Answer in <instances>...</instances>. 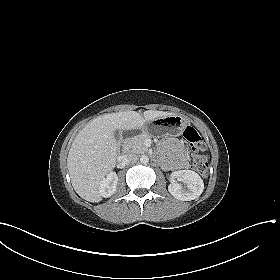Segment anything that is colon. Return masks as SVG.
I'll return each mask as SVG.
<instances>
[{"label": "colon", "instance_id": "1", "mask_svg": "<svg viewBox=\"0 0 280 280\" xmlns=\"http://www.w3.org/2000/svg\"><path fill=\"white\" fill-rule=\"evenodd\" d=\"M184 139L191 147V164L194 170L200 175L205 176L208 171V162L203 152L206 150V144L200 133L192 126H187L183 132Z\"/></svg>", "mask_w": 280, "mask_h": 280}]
</instances>
